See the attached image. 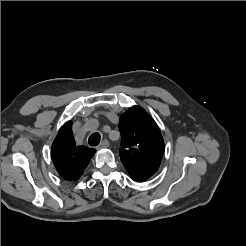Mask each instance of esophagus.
<instances>
[{"label":"esophagus","mask_w":246,"mask_h":246,"mask_svg":"<svg viewBox=\"0 0 246 246\" xmlns=\"http://www.w3.org/2000/svg\"><path fill=\"white\" fill-rule=\"evenodd\" d=\"M109 147V141L107 139H104L100 144L99 148H107Z\"/></svg>","instance_id":"esophagus-1"}]
</instances>
